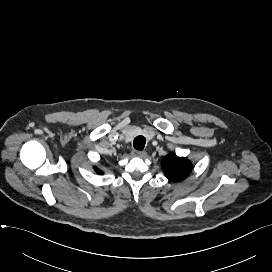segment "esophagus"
<instances>
[{
    "mask_svg": "<svg viewBox=\"0 0 272 272\" xmlns=\"http://www.w3.org/2000/svg\"><path fill=\"white\" fill-rule=\"evenodd\" d=\"M133 154L136 157L145 158L147 156V153L145 151H133Z\"/></svg>",
    "mask_w": 272,
    "mask_h": 272,
    "instance_id": "34e87169",
    "label": "esophagus"
}]
</instances>
